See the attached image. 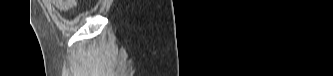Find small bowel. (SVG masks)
<instances>
[{
	"mask_svg": "<svg viewBox=\"0 0 333 76\" xmlns=\"http://www.w3.org/2000/svg\"><path fill=\"white\" fill-rule=\"evenodd\" d=\"M48 3L53 10L59 12L77 9L79 6L77 0H49Z\"/></svg>",
	"mask_w": 333,
	"mask_h": 76,
	"instance_id": "c3829d8e",
	"label": "small bowel"
}]
</instances>
